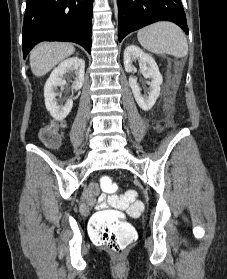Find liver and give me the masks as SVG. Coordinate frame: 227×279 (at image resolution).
<instances>
[{
    "instance_id": "6515ba94",
    "label": "liver",
    "mask_w": 227,
    "mask_h": 279,
    "mask_svg": "<svg viewBox=\"0 0 227 279\" xmlns=\"http://www.w3.org/2000/svg\"><path fill=\"white\" fill-rule=\"evenodd\" d=\"M75 48L70 43L43 42L34 47L30 53L32 73L41 77L47 74L58 63L71 56Z\"/></svg>"
}]
</instances>
